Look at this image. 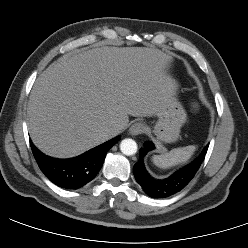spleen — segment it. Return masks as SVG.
<instances>
[{"mask_svg": "<svg viewBox=\"0 0 248 248\" xmlns=\"http://www.w3.org/2000/svg\"><path fill=\"white\" fill-rule=\"evenodd\" d=\"M195 149L196 147L194 145L176 148L161 155H153L152 161L155 166L161 169H167L186 163L193 155Z\"/></svg>", "mask_w": 248, "mask_h": 248, "instance_id": "1", "label": "spleen"}]
</instances>
